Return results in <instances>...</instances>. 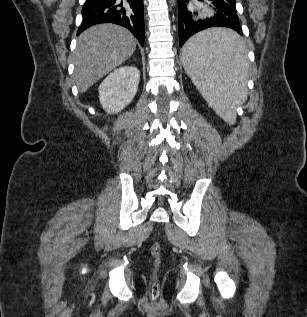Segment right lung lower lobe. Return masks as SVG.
Returning a JSON list of instances; mask_svg holds the SVG:
<instances>
[{
  "instance_id": "98d812e1",
  "label": "right lung lower lobe",
  "mask_w": 307,
  "mask_h": 317,
  "mask_svg": "<svg viewBox=\"0 0 307 317\" xmlns=\"http://www.w3.org/2000/svg\"><path fill=\"white\" fill-rule=\"evenodd\" d=\"M82 15L77 35L96 24L115 23L130 30L144 45L143 0H86Z\"/></svg>"
}]
</instances>
